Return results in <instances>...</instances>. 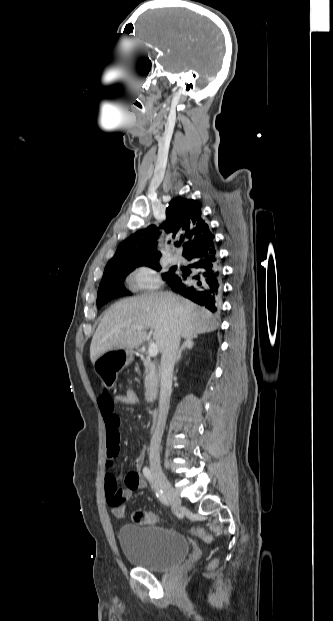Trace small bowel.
<instances>
[{
  "label": "small bowel",
  "mask_w": 333,
  "mask_h": 621,
  "mask_svg": "<svg viewBox=\"0 0 333 621\" xmlns=\"http://www.w3.org/2000/svg\"><path fill=\"white\" fill-rule=\"evenodd\" d=\"M122 402L121 394L111 396L104 392L98 399V405L104 420L107 437V467L111 468L119 453L120 444V419L115 412V403ZM144 453H139L134 459V469L127 472L125 476V488L118 485V478L113 473H107L105 477V487L107 502L113 509L117 506L124 508V503L131 497L136 490L145 487L146 482L140 470L144 464Z\"/></svg>",
  "instance_id": "obj_1"
}]
</instances>
